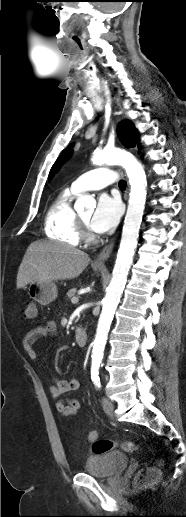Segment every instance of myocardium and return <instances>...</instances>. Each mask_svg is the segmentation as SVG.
<instances>
[{
	"label": "myocardium",
	"mask_w": 186,
	"mask_h": 517,
	"mask_svg": "<svg viewBox=\"0 0 186 517\" xmlns=\"http://www.w3.org/2000/svg\"><path fill=\"white\" fill-rule=\"evenodd\" d=\"M79 224L81 239L84 240L86 243L95 242L97 239L96 235L90 230L88 223L84 221L82 217H79Z\"/></svg>",
	"instance_id": "myocardium-1"
}]
</instances>
